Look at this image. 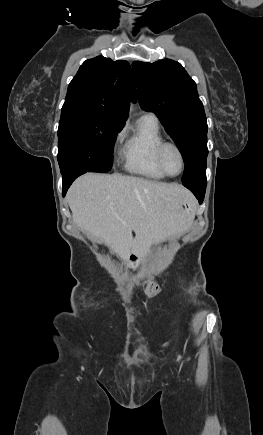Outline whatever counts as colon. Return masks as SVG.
<instances>
[{
	"instance_id": "colon-1",
	"label": "colon",
	"mask_w": 263,
	"mask_h": 435,
	"mask_svg": "<svg viewBox=\"0 0 263 435\" xmlns=\"http://www.w3.org/2000/svg\"><path fill=\"white\" fill-rule=\"evenodd\" d=\"M153 289V287H149V290H152Z\"/></svg>"
}]
</instances>
